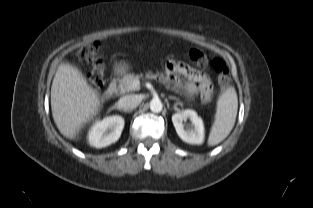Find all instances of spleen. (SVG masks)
<instances>
[{"label": "spleen", "instance_id": "1", "mask_svg": "<svg viewBox=\"0 0 313 208\" xmlns=\"http://www.w3.org/2000/svg\"><path fill=\"white\" fill-rule=\"evenodd\" d=\"M238 110V98L233 87L225 90L217 101L215 121L208 137V145L222 142L234 127Z\"/></svg>", "mask_w": 313, "mask_h": 208}]
</instances>
